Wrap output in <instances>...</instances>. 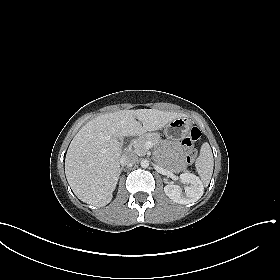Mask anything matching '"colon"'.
<instances>
[{
  "instance_id": "5ec220e1",
  "label": "colon",
  "mask_w": 280,
  "mask_h": 280,
  "mask_svg": "<svg viewBox=\"0 0 280 280\" xmlns=\"http://www.w3.org/2000/svg\"><path fill=\"white\" fill-rule=\"evenodd\" d=\"M201 131L199 128L194 127L191 129L188 137L183 140L185 147V158L188 163H193L197 157V150L195 143L200 139Z\"/></svg>"
}]
</instances>
